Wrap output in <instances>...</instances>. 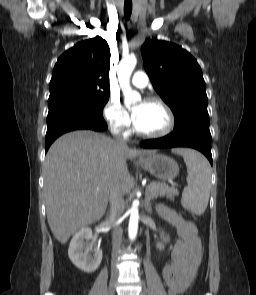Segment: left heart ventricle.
Listing matches in <instances>:
<instances>
[{
  "mask_svg": "<svg viewBox=\"0 0 256 295\" xmlns=\"http://www.w3.org/2000/svg\"><path fill=\"white\" fill-rule=\"evenodd\" d=\"M143 104L142 112L135 123L136 127L143 132L161 131L167 122L166 114L161 107L156 104L138 103L136 106Z\"/></svg>",
  "mask_w": 256,
  "mask_h": 295,
  "instance_id": "1",
  "label": "left heart ventricle"
}]
</instances>
